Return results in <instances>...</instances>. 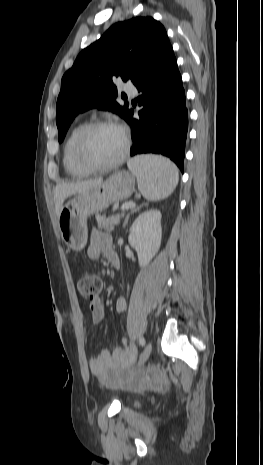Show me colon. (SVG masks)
I'll list each match as a JSON object with an SVG mask.
<instances>
[{"mask_svg": "<svg viewBox=\"0 0 263 465\" xmlns=\"http://www.w3.org/2000/svg\"><path fill=\"white\" fill-rule=\"evenodd\" d=\"M77 287L83 299L92 302L102 288V281L96 275L84 274L79 278Z\"/></svg>", "mask_w": 263, "mask_h": 465, "instance_id": "1", "label": "colon"}]
</instances>
